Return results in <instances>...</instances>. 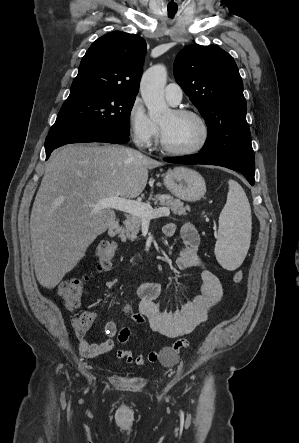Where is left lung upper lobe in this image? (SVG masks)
Here are the masks:
<instances>
[{"label":"left lung upper lobe","mask_w":299,"mask_h":443,"mask_svg":"<svg viewBox=\"0 0 299 443\" xmlns=\"http://www.w3.org/2000/svg\"><path fill=\"white\" fill-rule=\"evenodd\" d=\"M174 76L208 126V139L199 153L220 160L254 158L234 59L218 46L193 44L178 53Z\"/></svg>","instance_id":"5c2ea615"}]
</instances>
